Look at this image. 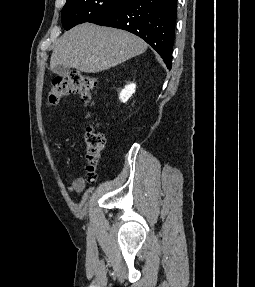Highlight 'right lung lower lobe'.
<instances>
[{
	"instance_id": "98d812e1",
	"label": "right lung lower lobe",
	"mask_w": 255,
	"mask_h": 287,
	"mask_svg": "<svg viewBox=\"0 0 255 287\" xmlns=\"http://www.w3.org/2000/svg\"><path fill=\"white\" fill-rule=\"evenodd\" d=\"M177 0H126L91 23L127 30L145 40L171 69Z\"/></svg>"
}]
</instances>
